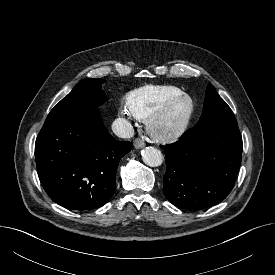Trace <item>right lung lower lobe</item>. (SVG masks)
Instances as JSON below:
<instances>
[{
	"instance_id": "right-lung-lower-lobe-1",
	"label": "right lung lower lobe",
	"mask_w": 275,
	"mask_h": 275,
	"mask_svg": "<svg viewBox=\"0 0 275 275\" xmlns=\"http://www.w3.org/2000/svg\"><path fill=\"white\" fill-rule=\"evenodd\" d=\"M131 150L104 127L99 111L42 127L35 143L40 182L57 204L91 210L106 204L115 191L119 160Z\"/></svg>"
}]
</instances>
